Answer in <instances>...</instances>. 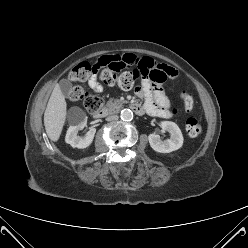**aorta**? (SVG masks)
<instances>
[{
    "mask_svg": "<svg viewBox=\"0 0 248 248\" xmlns=\"http://www.w3.org/2000/svg\"><path fill=\"white\" fill-rule=\"evenodd\" d=\"M121 119L124 121H131L133 119V112L130 109H123L121 111Z\"/></svg>",
    "mask_w": 248,
    "mask_h": 248,
    "instance_id": "obj_1",
    "label": "aorta"
}]
</instances>
